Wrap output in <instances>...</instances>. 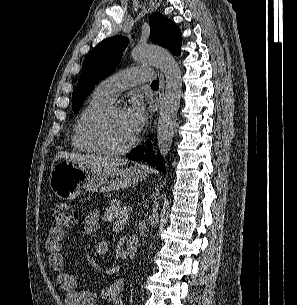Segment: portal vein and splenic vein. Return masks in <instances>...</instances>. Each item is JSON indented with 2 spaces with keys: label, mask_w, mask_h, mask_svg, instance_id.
<instances>
[{
  "label": "portal vein and splenic vein",
  "mask_w": 297,
  "mask_h": 305,
  "mask_svg": "<svg viewBox=\"0 0 297 305\" xmlns=\"http://www.w3.org/2000/svg\"><path fill=\"white\" fill-rule=\"evenodd\" d=\"M125 211H126V215H128V213L132 211V208L131 207L126 208Z\"/></svg>",
  "instance_id": "18ae733b"
}]
</instances>
